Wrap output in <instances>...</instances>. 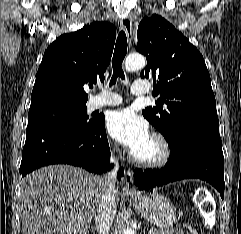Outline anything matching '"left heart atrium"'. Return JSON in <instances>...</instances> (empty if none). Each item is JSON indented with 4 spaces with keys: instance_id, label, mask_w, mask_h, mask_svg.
<instances>
[{
    "instance_id": "39dd6f15",
    "label": "left heart atrium",
    "mask_w": 241,
    "mask_h": 234,
    "mask_svg": "<svg viewBox=\"0 0 241 234\" xmlns=\"http://www.w3.org/2000/svg\"><path fill=\"white\" fill-rule=\"evenodd\" d=\"M107 130L132 154L138 153L150 139L148 123L131 109L112 112L107 119Z\"/></svg>"
}]
</instances>
